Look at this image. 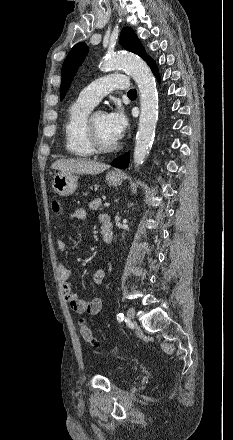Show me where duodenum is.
<instances>
[{
	"mask_svg": "<svg viewBox=\"0 0 233 440\" xmlns=\"http://www.w3.org/2000/svg\"><path fill=\"white\" fill-rule=\"evenodd\" d=\"M101 233L105 243L110 244L113 240V226L109 217H106L102 221Z\"/></svg>",
	"mask_w": 233,
	"mask_h": 440,
	"instance_id": "410a0bca",
	"label": "duodenum"
}]
</instances>
